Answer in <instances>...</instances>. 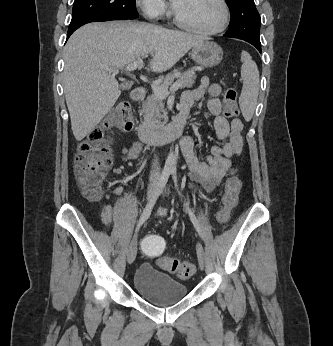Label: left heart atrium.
<instances>
[{"label": "left heart atrium", "instance_id": "39dd6f15", "mask_svg": "<svg viewBox=\"0 0 333 346\" xmlns=\"http://www.w3.org/2000/svg\"><path fill=\"white\" fill-rule=\"evenodd\" d=\"M172 1H173V3H174V6H175V3H176L177 0H172Z\"/></svg>", "mask_w": 333, "mask_h": 346}]
</instances>
